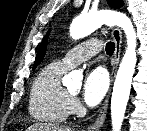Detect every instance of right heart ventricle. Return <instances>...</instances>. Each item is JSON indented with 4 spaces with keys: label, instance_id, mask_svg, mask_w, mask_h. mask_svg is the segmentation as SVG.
<instances>
[{
    "label": "right heart ventricle",
    "instance_id": "obj_1",
    "mask_svg": "<svg viewBox=\"0 0 147 131\" xmlns=\"http://www.w3.org/2000/svg\"><path fill=\"white\" fill-rule=\"evenodd\" d=\"M67 71L59 62L43 67L35 77L30 91L28 110L37 121L59 124L69 115L70 95L61 84Z\"/></svg>",
    "mask_w": 147,
    "mask_h": 131
}]
</instances>
